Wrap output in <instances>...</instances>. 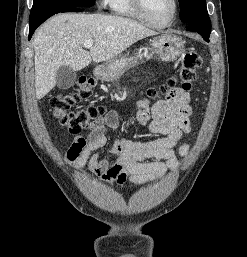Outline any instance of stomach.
Returning a JSON list of instances; mask_svg holds the SVG:
<instances>
[{
    "mask_svg": "<svg viewBox=\"0 0 247 257\" xmlns=\"http://www.w3.org/2000/svg\"><path fill=\"white\" fill-rule=\"evenodd\" d=\"M151 50L163 61H174L182 53L184 41L172 34H164L151 42ZM142 55H121L99 65L95 70V76L102 81H115L128 69L138 65L142 61Z\"/></svg>",
    "mask_w": 247,
    "mask_h": 257,
    "instance_id": "0dacf381",
    "label": "stomach"
}]
</instances>
